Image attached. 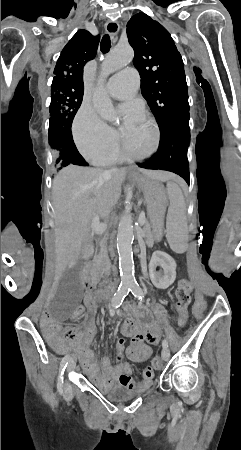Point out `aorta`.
Here are the masks:
<instances>
[{
  "mask_svg": "<svg viewBox=\"0 0 241 450\" xmlns=\"http://www.w3.org/2000/svg\"><path fill=\"white\" fill-rule=\"evenodd\" d=\"M134 57L130 46L119 45L112 49L102 65L99 86L93 96V104L98 114L107 121L115 118V110L110 97L104 90L103 79L109 74L125 67ZM134 240L133 221L130 212L126 209L120 217L117 234V251L119 254V269L121 283L126 287L135 285L134 261L132 243Z\"/></svg>",
  "mask_w": 241,
  "mask_h": 450,
  "instance_id": "762f6f07",
  "label": "aorta"
}]
</instances>
